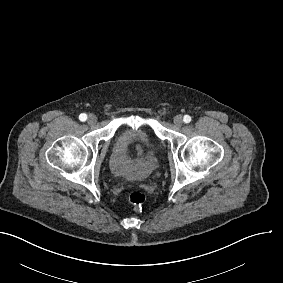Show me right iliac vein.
<instances>
[{"instance_id":"63e3f726","label":"right iliac vein","mask_w":283,"mask_h":283,"mask_svg":"<svg viewBox=\"0 0 283 283\" xmlns=\"http://www.w3.org/2000/svg\"><path fill=\"white\" fill-rule=\"evenodd\" d=\"M87 121L89 124H94L97 122V117L94 114H90Z\"/></svg>"}]
</instances>
